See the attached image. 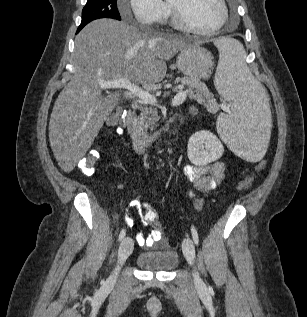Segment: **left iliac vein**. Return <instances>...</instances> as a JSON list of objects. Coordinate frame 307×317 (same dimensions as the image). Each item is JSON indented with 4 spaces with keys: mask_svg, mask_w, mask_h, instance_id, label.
Masks as SVG:
<instances>
[{
    "mask_svg": "<svg viewBox=\"0 0 307 317\" xmlns=\"http://www.w3.org/2000/svg\"><path fill=\"white\" fill-rule=\"evenodd\" d=\"M183 252L188 263L193 267L195 263V247H194V243L192 239L189 237L185 238L183 241ZM193 276H194L195 285L199 289H204L205 285L195 270H194Z\"/></svg>",
    "mask_w": 307,
    "mask_h": 317,
    "instance_id": "4c4485c4",
    "label": "left iliac vein"
}]
</instances>
